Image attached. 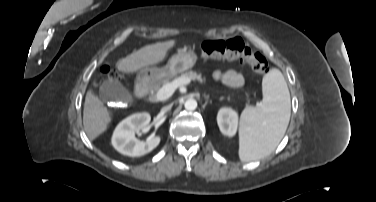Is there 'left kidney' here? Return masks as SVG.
I'll return each instance as SVG.
<instances>
[{
	"label": "left kidney",
	"mask_w": 376,
	"mask_h": 202,
	"mask_svg": "<svg viewBox=\"0 0 376 202\" xmlns=\"http://www.w3.org/2000/svg\"><path fill=\"white\" fill-rule=\"evenodd\" d=\"M217 123L224 135L232 137L237 132L238 115L230 108H222L218 112Z\"/></svg>",
	"instance_id": "left-kidney-1"
}]
</instances>
